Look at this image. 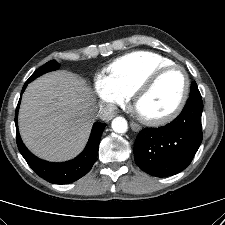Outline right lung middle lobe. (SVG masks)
<instances>
[{
  "label": "right lung middle lobe",
  "instance_id": "dd1d6c3e",
  "mask_svg": "<svg viewBox=\"0 0 225 225\" xmlns=\"http://www.w3.org/2000/svg\"><path fill=\"white\" fill-rule=\"evenodd\" d=\"M59 66L60 65L55 60H51L44 64L42 67H40L38 70H36L28 80L32 81L44 73L56 70L57 68H59Z\"/></svg>",
  "mask_w": 225,
  "mask_h": 225
}]
</instances>
